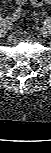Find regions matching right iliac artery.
Returning a JSON list of instances; mask_svg holds the SVG:
<instances>
[{
    "instance_id": "obj_1",
    "label": "right iliac artery",
    "mask_w": 51,
    "mask_h": 153,
    "mask_svg": "<svg viewBox=\"0 0 51 153\" xmlns=\"http://www.w3.org/2000/svg\"><path fill=\"white\" fill-rule=\"evenodd\" d=\"M1 20H3V21H2L3 24H6V20H4V19H1Z\"/></svg>"
}]
</instances>
